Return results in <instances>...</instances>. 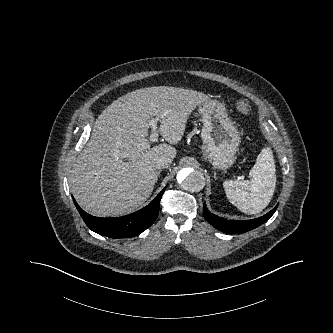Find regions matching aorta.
<instances>
[{"label":"aorta","instance_id":"aorta-1","mask_svg":"<svg viewBox=\"0 0 333 333\" xmlns=\"http://www.w3.org/2000/svg\"><path fill=\"white\" fill-rule=\"evenodd\" d=\"M176 178L181 188L186 192H199L205 186V177L199 170L181 169Z\"/></svg>","mask_w":333,"mask_h":333}]
</instances>
